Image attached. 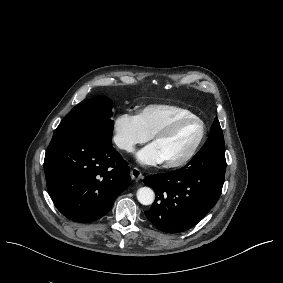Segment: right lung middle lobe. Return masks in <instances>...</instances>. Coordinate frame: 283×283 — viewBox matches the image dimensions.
<instances>
[{
    "mask_svg": "<svg viewBox=\"0 0 283 283\" xmlns=\"http://www.w3.org/2000/svg\"><path fill=\"white\" fill-rule=\"evenodd\" d=\"M110 99L92 98L75 106L61 121L54 131L53 137L61 135H77L111 142L114 122Z\"/></svg>",
    "mask_w": 283,
    "mask_h": 283,
    "instance_id": "1",
    "label": "right lung middle lobe"
}]
</instances>
